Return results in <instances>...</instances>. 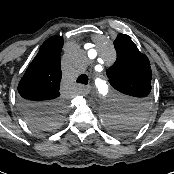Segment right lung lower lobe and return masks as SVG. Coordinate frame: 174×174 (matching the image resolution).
Masks as SVG:
<instances>
[{
	"instance_id": "1",
	"label": "right lung lower lobe",
	"mask_w": 174,
	"mask_h": 174,
	"mask_svg": "<svg viewBox=\"0 0 174 174\" xmlns=\"http://www.w3.org/2000/svg\"><path fill=\"white\" fill-rule=\"evenodd\" d=\"M54 104L56 103L48 104V103H33L24 100L20 101L21 110L27 118H30L37 113L47 111Z\"/></svg>"
}]
</instances>
